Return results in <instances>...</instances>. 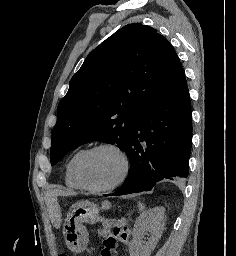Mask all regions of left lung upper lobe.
Returning <instances> with one entry per match:
<instances>
[{"label":"left lung upper lobe","mask_w":236,"mask_h":256,"mask_svg":"<svg viewBox=\"0 0 236 256\" xmlns=\"http://www.w3.org/2000/svg\"><path fill=\"white\" fill-rule=\"evenodd\" d=\"M183 75L175 50L155 29L134 23L118 30L70 80L57 108L51 164L91 141L126 152L135 120Z\"/></svg>","instance_id":"1"}]
</instances>
